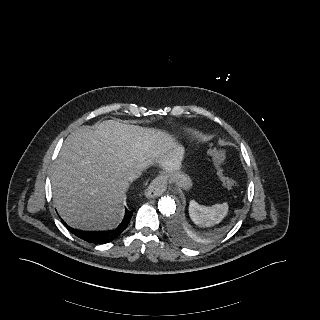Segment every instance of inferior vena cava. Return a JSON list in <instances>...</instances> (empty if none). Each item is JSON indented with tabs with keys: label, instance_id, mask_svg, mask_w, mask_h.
Wrapping results in <instances>:
<instances>
[{
	"label": "inferior vena cava",
	"instance_id": "602c4592",
	"mask_svg": "<svg viewBox=\"0 0 320 320\" xmlns=\"http://www.w3.org/2000/svg\"><path fill=\"white\" fill-rule=\"evenodd\" d=\"M141 175V171L134 169V170H130L127 175H126V179L127 181H133L136 178H138Z\"/></svg>",
	"mask_w": 320,
	"mask_h": 320
}]
</instances>
